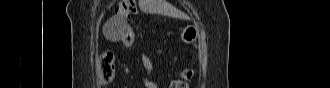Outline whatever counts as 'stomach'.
<instances>
[{
    "label": "stomach",
    "mask_w": 330,
    "mask_h": 88,
    "mask_svg": "<svg viewBox=\"0 0 330 88\" xmlns=\"http://www.w3.org/2000/svg\"><path fill=\"white\" fill-rule=\"evenodd\" d=\"M198 33V28L193 24H189L182 29L181 39L186 44H193L198 38Z\"/></svg>",
    "instance_id": "1"
}]
</instances>
